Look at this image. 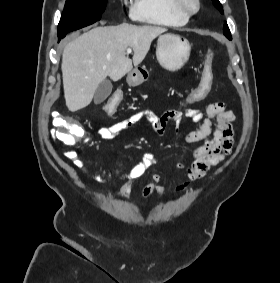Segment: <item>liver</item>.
Masks as SVG:
<instances>
[{
    "mask_svg": "<svg viewBox=\"0 0 280 283\" xmlns=\"http://www.w3.org/2000/svg\"><path fill=\"white\" fill-rule=\"evenodd\" d=\"M167 29L158 26L95 27L68 43L62 55L66 106L72 112L88 106L107 76L118 81L146 57L152 41ZM133 49V59L126 50ZM133 63V64H132Z\"/></svg>",
    "mask_w": 280,
    "mask_h": 283,
    "instance_id": "1",
    "label": "liver"
}]
</instances>
